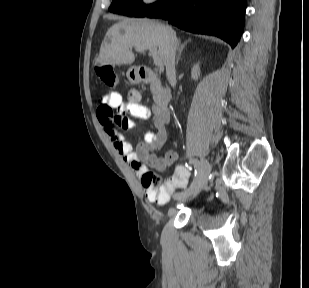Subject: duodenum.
<instances>
[{"mask_svg":"<svg viewBox=\"0 0 309 288\" xmlns=\"http://www.w3.org/2000/svg\"><path fill=\"white\" fill-rule=\"evenodd\" d=\"M137 76L141 82L156 83L158 81V78L155 75V73L150 68L144 66L137 68ZM154 99L156 104L161 109H166L170 103L171 94L166 88L159 86L158 89L156 90Z\"/></svg>","mask_w":309,"mask_h":288,"instance_id":"obj_1","label":"duodenum"}]
</instances>
